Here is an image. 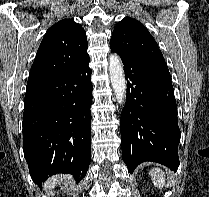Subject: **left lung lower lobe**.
I'll return each mask as SVG.
<instances>
[{"label":"left lung lower lobe","instance_id":"left-lung-lower-lobe-1","mask_svg":"<svg viewBox=\"0 0 209 197\" xmlns=\"http://www.w3.org/2000/svg\"><path fill=\"white\" fill-rule=\"evenodd\" d=\"M120 56L127 79L126 105L120 119L122 159L130 173L145 161L175 171L179 166L181 132L169 70Z\"/></svg>","mask_w":209,"mask_h":197}]
</instances>
